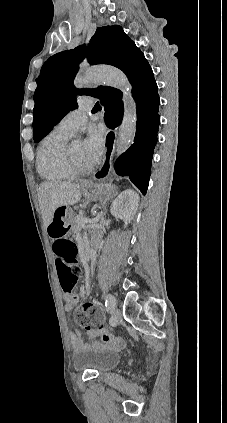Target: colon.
I'll use <instances>...</instances> for the list:
<instances>
[{
    "label": "colon",
    "mask_w": 227,
    "mask_h": 423,
    "mask_svg": "<svg viewBox=\"0 0 227 423\" xmlns=\"http://www.w3.org/2000/svg\"><path fill=\"white\" fill-rule=\"evenodd\" d=\"M53 238V252L56 256V269L61 288L65 294H73L80 274L76 259V246L68 238L67 229L62 222H55L50 230ZM77 323L87 330L102 328L100 309L92 303H85L76 313Z\"/></svg>",
    "instance_id": "5ec220e1"
}]
</instances>
